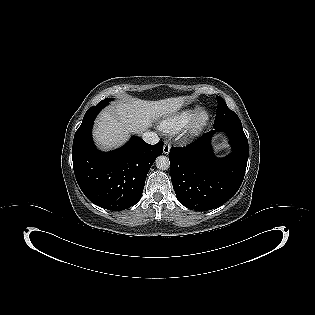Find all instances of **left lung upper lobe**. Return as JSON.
<instances>
[{"label":"left lung upper lobe","instance_id":"1","mask_svg":"<svg viewBox=\"0 0 315 315\" xmlns=\"http://www.w3.org/2000/svg\"><path fill=\"white\" fill-rule=\"evenodd\" d=\"M217 111L214 122V128H219L226 125L242 126L241 121L237 114L230 110L226 102L219 96H217Z\"/></svg>","mask_w":315,"mask_h":315}]
</instances>
